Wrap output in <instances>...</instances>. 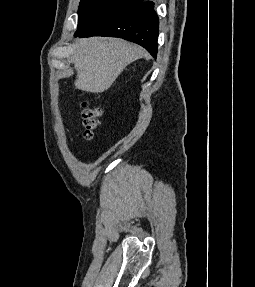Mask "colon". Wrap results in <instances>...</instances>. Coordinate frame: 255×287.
I'll list each match as a JSON object with an SVG mask.
<instances>
[{
    "label": "colon",
    "mask_w": 255,
    "mask_h": 287,
    "mask_svg": "<svg viewBox=\"0 0 255 287\" xmlns=\"http://www.w3.org/2000/svg\"><path fill=\"white\" fill-rule=\"evenodd\" d=\"M82 119L85 127L84 136L90 140L94 137L96 130L101 125L102 110L98 107L84 102L82 105Z\"/></svg>",
    "instance_id": "5ec220e1"
}]
</instances>
